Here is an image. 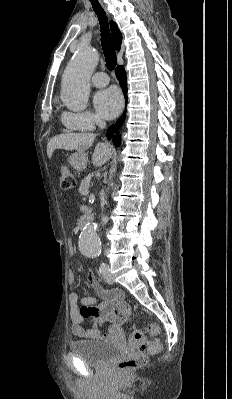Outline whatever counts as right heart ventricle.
I'll use <instances>...</instances> for the list:
<instances>
[{
  "label": "right heart ventricle",
  "mask_w": 232,
  "mask_h": 399,
  "mask_svg": "<svg viewBox=\"0 0 232 399\" xmlns=\"http://www.w3.org/2000/svg\"><path fill=\"white\" fill-rule=\"evenodd\" d=\"M61 125H62V129L63 131L70 133V134H76V133H80L83 131V129H81L80 127H78L77 125L67 122L63 119V117L61 118Z\"/></svg>",
  "instance_id": "1"
}]
</instances>
